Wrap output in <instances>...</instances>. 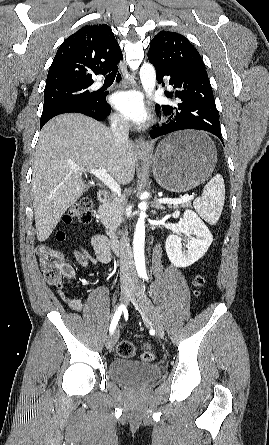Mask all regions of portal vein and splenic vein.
Segmentation results:
<instances>
[{
  "label": "portal vein and splenic vein",
  "instance_id": "18ae733b",
  "mask_svg": "<svg viewBox=\"0 0 269 445\" xmlns=\"http://www.w3.org/2000/svg\"><path fill=\"white\" fill-rule=\"evenodd\" d=\"M76 170L81 171H88L90 174L95 175L100 181H102L115 195L118 197H122L121 195V188L119 184L107 173L105 169H84V168H76ZM195 195H188L184 194L182 197L177 199H168V198H162L159 199V203L164 204H183L185 202H188L191 199H194Z\"/></svg>",
  "mask_w": 269,
  "mask_h": 445
}]
</instances>
